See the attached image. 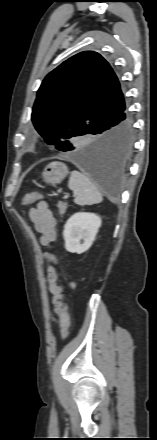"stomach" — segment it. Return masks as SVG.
I'll return each mask as SVG.
<instances>
[{"instance_id":"0dacf381","label":"stomach","mask_w":157,"mask_h":440,"mask_svg":"<svg viewBox=\"0 0 157 440\" xmlns=\"http://www.w3.org/2000/svg\"><path fill=\"white\" fill-rule=\"evenodd\" d=\"M69 174L68 167L62 162L49 163L42 172L43 180L51 185L59 184Z\"/></svg>"}]
</instances>
